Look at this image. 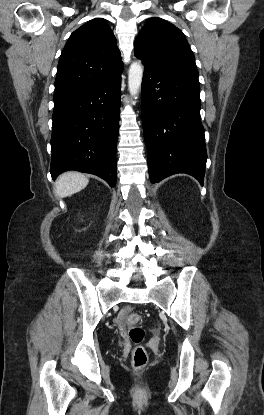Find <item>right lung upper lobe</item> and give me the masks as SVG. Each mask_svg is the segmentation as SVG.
Wrapping results in <instances>:
<instances>
[{
  "instance_id": "obj_1",
  "label": "right lung upper lobe",
  "mask_w": 264,
  "mask_h": 415,
  "mask_svg": "<svg viewBox=\"0 0 264 415\" xmlns=\"http://www.w3.org/2000/svg\"><path fill=\"white\" fill-rule=\"evenodd\" d=\"M123 71L116 38L105 19L95 18L74 31L61 53L54 94L116 77Z\"/></svg>"
}]
</instances>
